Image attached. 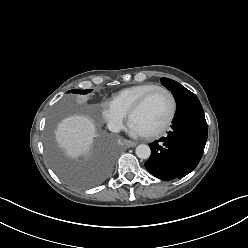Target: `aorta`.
<instances>
[{"mask_svg":"<svg viewBox=\"0 0 248 248\" xmlns=\"http://www.w3.org/2000/svg\"><path fill=\"white\" fill-rule=\"evenodd\" d=\"M135 153H136L138 158L148 159L150 157V154H151V149L146 144H140L136 147Z\"/></svg>","mask_w":248,"mask_h":248,"instance_id":"762f6f07","label":"aorta"}]
</instances>
